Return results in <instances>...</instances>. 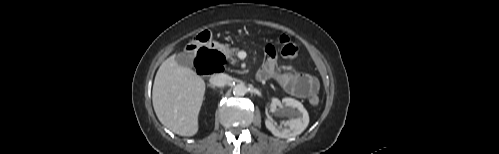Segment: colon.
Returning <instances> with one entry per match:
<instances>
[{"mask_svg": "<svg viewBox=\"0 0 499 154\" xmlns=\"http://www.w3.org/2000/svg\"><path fill=\"white\" fill-rule=\"evenodd\" d=\"M211 40V35L208 31H203L198 33L192 40V44L200 45L206 44ZM279 43L281 46V54L287 60H296L300 56V48L299 46L293 42L287 35H282L279 39ZM225 57L219 53L213 51V64L216 71H220L223 69L225 65ZM321 103V99L319 96H313L310 99V104L312 106H319Z\"/></svg>", "mask_w": 499, "mask_h": 154, "instance_id": "1", "label": "colon"}]
</instances>
